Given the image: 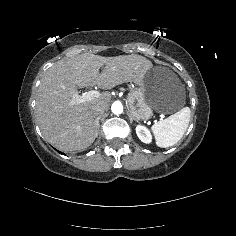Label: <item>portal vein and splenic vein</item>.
Returning a JSON list of instances; mask_svg holds the SVG:
<instances>
[{
    "mask_svg": "<svg viewBox=\"0 0 236 236\" xmlns=\"http://www.w3.org/2000/svg\"><path fill=\"white\" fill-rule=\"evenodd\" d=\"M101 92L99 90H92L89 92H84L82 96H76L73 98L75 104L83 103L85 101H91L93 99L99 98Z\"/></svg>",
    "mask_w": 236,
    "mask_h": 236,
    "instance_id": "portal-vein-and-splenic-vein-1",
    "label": "portal vein and splenic vein"
}]
</instances>
